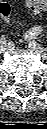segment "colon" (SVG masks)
<instances>
[{"label": "colon", "instance_id": "5ec220e1", "mask_svg": "<svg viewBox=\"0 0 47 129\" xmlns=\"http://www.w3.org/2000/svg\"><path fill=\"white\" fill-rule=\"evenodd\" d=\"M26 6L38 15L47 8V0H25ZM10 7L7 3L0 4V15L5 22L9 21Z\"/></svg>", "mask_w": 47, "mask_h": 129}]
</instances>
